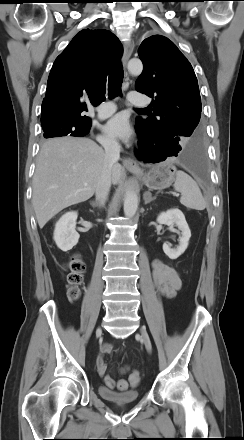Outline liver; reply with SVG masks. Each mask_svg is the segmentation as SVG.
Listing matches in <instances>:
<instances>
[{"label":"liver","instance_id":"obj_1","mask_svg":"<svg viewBox=\"0 0 244 440\" xmlns=\"http://www.w3.org/2000/svg\"><path fill=\"white\" fill-rule=\"evenodd\" d=\"M104 157V150L88 138H54L41 146L32 183V204L40 228L61 210L94 195ZM122 172L120 164L112 166L114 184L120 182Z\"/></svg>","mask_w":244,"mask_h":440}]
</instances>
